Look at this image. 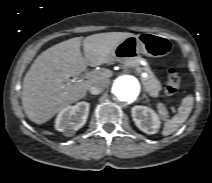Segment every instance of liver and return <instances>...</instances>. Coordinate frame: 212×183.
Listing matches in <instances>:
<instances>
[{
	"mask_svg": "<svg viewBox=\"0 0 212 183\" xmlns=\"http://www.w3.org/2000/svg\"><path fill=\"white\" fill-rule=\"evenodd\" d=\"M133 33L108 32L68 39L42 52L26 73L22 89V105L27 117L43 124L64 107L83 98L96 82H107L112 71L103 69L87 80H69L87 66L107 63L117 46ZM83 44L85 57L80 46Z\"/></svg>",
	"mask_w": 212,
	"mask_h": 183,
	"instance_id": "obj_1",
	"label": "liver"
}]
</instances>
